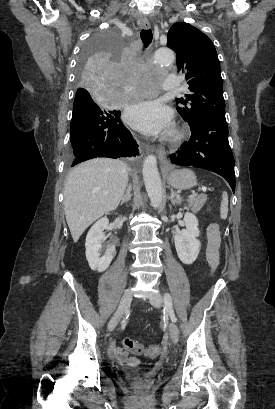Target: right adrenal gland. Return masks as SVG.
I'll use <instances>...</instances> for the list:
<instances>
[{
	"label": "right adrenal gland",
	"instance_id": "obj_1",
	"mask_svg": "<svg viewBox=\"0 0 275 409\" xmlns=\"http://www.w3.org/2000/svg\"><path fill=\"white\" fill-rule=\"evenodd\" d=\"M131 190H132V184H128V186L126 188V192L122 196V200L120 202V205H123V202H128V200H130V198L132 196Z\"/></svg>",
	"mask_w": 275,
	"mask_h": 409
}]
</instances>
